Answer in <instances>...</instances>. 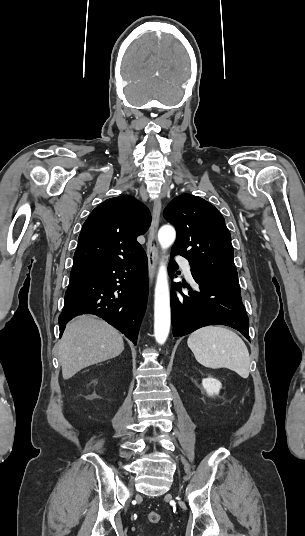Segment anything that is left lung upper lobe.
Instances as JSON below:
<instances>
[{"label":"left lung upper lobe","instance_id":"left-lung-upper-lobe-1","mask_svg":"<svg viewBox=\"0 0 305 536\" xmlns=\"http://www.w3.org/2000/svg\"><path fill=\"white\" fill-rule=\"evenodd\" d=\"M163 215L177 232L171 255L185 257L195 272L238 278L230 232L213 205L182 194L169 203Z\"/></svg>","mask_w":305,"mask_h":536}]
</instances>
